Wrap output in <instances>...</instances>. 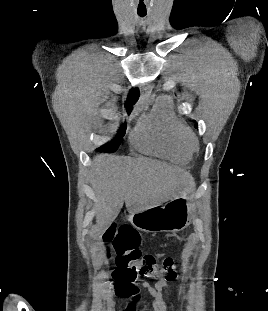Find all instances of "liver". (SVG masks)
I'll list each match as a JSON object with an SVG mask.
<instances>
[{
    "label": "liver",
    "mask_w": 268,
    "mask_h": 311,
    "mask_svg": "<svg viewBox=\"0 0 268 311\" xmlns=\"http://www.w3.org/2000/svg\"><path fill=\"white\" fill-rule=\"evenodd\" d=\"M96 193V231L103 232L125 202L129 213L161 205L192 183L185 170L148 158L97 155L90 169Z\"/></svg>",
    "instance_id": "6515ba94"
}]
</instances>
